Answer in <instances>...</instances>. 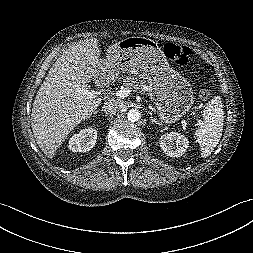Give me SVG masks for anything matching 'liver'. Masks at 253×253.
<instances>
[{
    "mask_svg": "<svg viewBox=\"0 0 253 253\" xmlns=\"http://www.w3.org/2000/svg\"><path fill=\"white\" fill-rule=\"evenodd\" d=\"M96 38L72 44L50 68L32 108L31 126L41 150L52 158L68 134L88 119L101 103L88 99L80 89H88L91 79L101 76L105 63Z\"/></svg>",
    "mask_w": 253,
    "mask_h": 253,
    "instance_id": "1",
    "label": "liver"
}]
</instances>
